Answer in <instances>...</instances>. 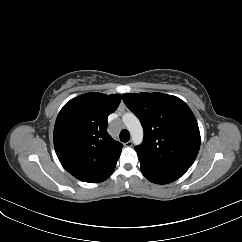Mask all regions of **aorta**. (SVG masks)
<instances>
[{
	"mask_svg": "<svg viewBox=\"0 0 242 242\" xmlns=\"http://www.w3.org/2000/svg\"><path fill=\"white\" fill-rule=\"evenodd\" d=\"M123 122L130 132L132 141L135 145H139L143 141V128L139 119L133 113L123 115Z\"/></svg>",
	"mask_w": 242,
	"mask_h": 242,
	"instance_id": "762f6f07",
	"label": "aorta"
}]
</instances>
